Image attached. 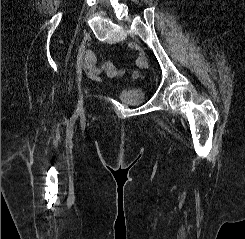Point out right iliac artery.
<instances>
[{
  "label": "right iliac artery",
  "instance_id": "obj_1",
  "mask_svg": "<svg viewBox=\"0 0 245 239\" xmlns=\"http://www.w3.org/2000/svg\"><path fill=\"white\" fill-rule=\"evenodd\" d=\"M80 52H81V47L79 48V53H78V56H77V68H78L79 63H80Z\"/></svg>",
  "mask_w": 245,
  "mask_h": 239
}]
</instances>
